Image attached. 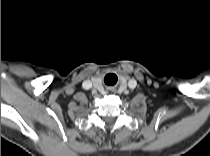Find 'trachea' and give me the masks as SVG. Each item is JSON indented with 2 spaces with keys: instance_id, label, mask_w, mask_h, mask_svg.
Instances as JSON below:
<instances>
[{
  "instance_id": "obj_1",
  "label": "trachea",
  "mask_w": 210,
  "mask_h": 156,
  "mask_svg": "<svg viewBox=\"0 0 210 156\" xmlns=\"http://www.w3.org/2000/svg\"><path fill=\"white\" fill-rule=\"evenodd\" d=\"M105 84L114 85L117 82V77L114 74H108L104 79Z\"/></svg>"
}]
</instances>
